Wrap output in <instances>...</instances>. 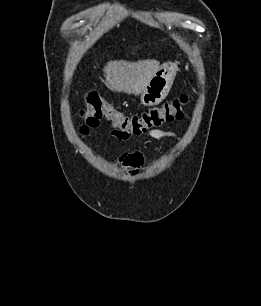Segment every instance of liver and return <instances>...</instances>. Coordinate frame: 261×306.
I'll list each match as a JSON object with an SVG mask.
<instances>
[{
    "mask_svg": "<svg viewBox=\"0 0 261 306\" xmlns=\"http://www.w3.org/2000/svg\"><path fill=\"white\" fill-rule=\"evenodd\" d=\"M159 69L157 60L109 61L104 67L105 85L111 90L138 95Z\"/></svg>",
    "mask_w": 261,
    "mask_h": 306,
    "instance_id": "6515ba94",
    "label": "liver"
}]
</instances>
